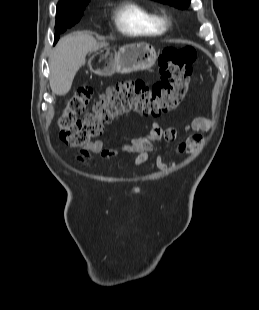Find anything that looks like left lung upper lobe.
Wrapping results in <instances>:
<instances>
[{"label": "left lung upper lobe", "mask_w": 259, "mask_h": 310, "mask_svg": "<svg viewBox=\"0 0 259 310\" xmlns=\"http://www.w3.org/2000/svg\"><path fill=\"white\" fill-rule=\"evenodd\" d=\"M155 1L165 3L180 9H185L190 4V0H155Z\"/></svg>", "instance_id": "5c2ea615"}]
</instances>
